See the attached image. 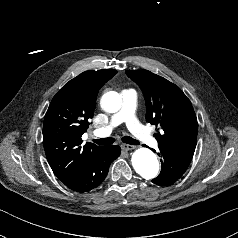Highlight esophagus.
<instances>
[{
  "mask_svg": "<svg viewBox=\"0 0 238 238\" xmlns=\"http://www.w3.org/2000/svg\"><path fill=\"white\" fill-rule=\"evenodd\" d=\"M135 148H136V146H133V145H128V144H123L122 145V149H124L126 151L133 150Z\"/></svg>",
  "mask_w": 238,
  "mask_h": 238,
  "instance_id": "obj_1",
  "label": "esophagus"
}]
</instances>
